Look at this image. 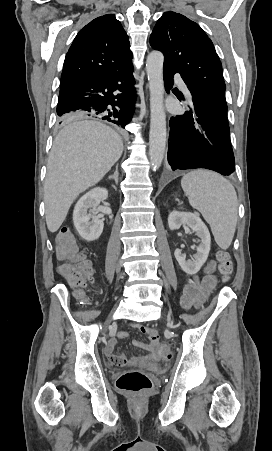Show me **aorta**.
Returning a JSON list of instances; mask_svg holds the SVG:
<instances>
[{
	"label": "aorta",
	"mask_w": 272,
	"mask_h": 451,
	"mask_svg": "<svg viewBox=\"0 0 272 451\" xmlns=\"http://www.w3.org/2000/svg\"><path fill=\"white\" fill-rule=\"evenodd\" d=\"M162 52H150L146 60V72L150 90L149 158L154 170L160 168L166 148V114L164 110Z\"/></svg>",
	"instance_id": "762f6f07"
}]
</instances>
